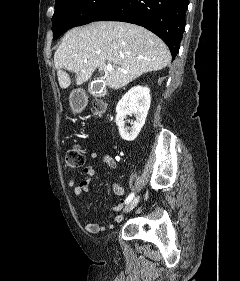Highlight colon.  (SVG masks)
<instances>
[{
	"mask_svg": "<svg viewBox=\"0 0 240 281\" xmlns=\"http://www.w3.org/2000/svg\"><path fill=\"white\" fill-rule=\"evenodd\" d=\"M94 111L100 115L104 111V106L101 103L94 105ZM85 163V157L81 147L78 144H74L69 147L64 156V164L68 169L80 168Z\"/></svg>",
	"mask_w": 240,
	"mask_h": 281,
	"instance_id": "5ec220e1",
	"label": "colon"
}]
</instances>
